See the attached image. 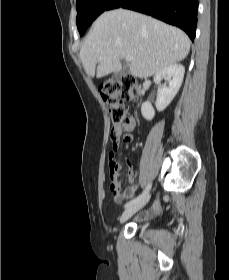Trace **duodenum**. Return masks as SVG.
I'll use <instances>...</instances> for the list:
<instances>
[{"instance_id":"1","label":"duodenum","mask_w":229,"mask_h":280,"mask_svg":"<svg viewBox=\"0 0 229 280\" xmlns=\"http://www.w3.org/2000/svg\"><path fill=\"white\" fill-rule=\"evenodd\" d=\"M143 92H144V90L141 87H139L138 94L140 97L143 95Z\"/></svg>"}]
</instances>
